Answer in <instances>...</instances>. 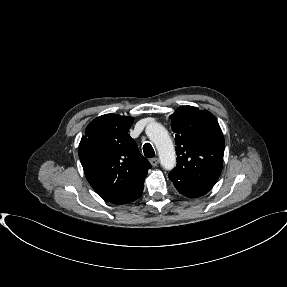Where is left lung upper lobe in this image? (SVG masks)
<instances>
[{"instance_id": "1", "label": "left lung upper lobe", "mask_w": 287, "mask_h": 287, "mask_svg": "<svg viewBox=\"0 0 287 287\" xmlns=\"http://www.w3.org/2000/svg\"><path fill=\"white\" fill-rule=\"evenodd\" d=\"M170 119L177 165L168 176L184 196L200 197L222 171L225 142L221 128L212 113L193 106L178 108Z\"/></svg>"}]
</instances>
